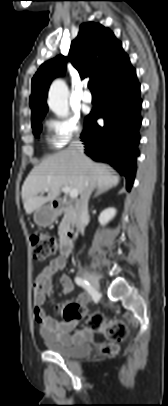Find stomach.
<instances>
[{"instance_id": "stomach-1", "label": "stomach", "mask_w": 168, "mask_h": 406, "mask_svg": "<svg viewBox=\"0 0 168 406\" xmlns=\"http://www.w3.org/2000/svg\"><path fill=\"white\" fill-rule=\"evenodd\" d=\"M58 212L50 206L37 209L34 213V222L42 227L48 226L56 219Z\"/></svg>"}]
</instances>
